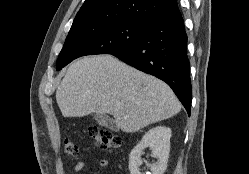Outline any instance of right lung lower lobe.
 Segmentation results:
<instances>
[{
    "instance_id": "right-lung-lower-lobe-1",
    "label": "right lung lower lobe",
    "mask_w": 249,
    "mask_h": 174,
    "mask_svg": "<svg viewBox=\"0 0 249 174\" xmlns=\"http://www.w3.org/2000/svg\"><path fill=\"white\" fill-rule=\"evenodd\" d=\"M111 54L166 82L190 115L192 91L187 35L180 12L148 20L142 36L133 45Z\"/></svg>"
}]
</instances>
